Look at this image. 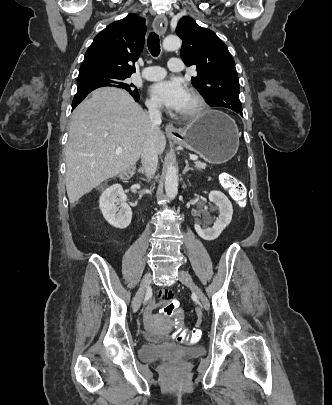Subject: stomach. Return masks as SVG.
<instances>
[{
    "instance_id": "stomach-1",
    "label": "stomach",
    "mask_w": 332,
    "mask_h": 405,
    "mask_svg": "<svg viewBox=\"0 0 332 405\" xmlns=\"http://www.w3.org/2000/svg\"><path fill=\"white\" fill-rule=\"evenodd\" d=\"M180 146L198 154L212 164L231 160L238 151L239 136L235 122L226 114L210 110L201 114L171 137Z\"/></svg>"
}]
</instances>
